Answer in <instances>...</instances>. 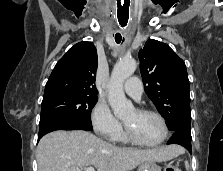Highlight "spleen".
<instances>
[{"label":"spleen","instance_id":"1","mask_svg":"<svg viewBox=\"0 0 223 171\" xmlns=\"http://www.w3.org/2000/svg\"><path fill=\"white\" fill-rule=\"evenodd\" d=\"M178 151H179V153H183L184 152L182 148H179ZM185 168H186L187 171H189L190 166H189L188 161H185Z\"/></svg>","mask_w":223,"mask_h":171}]
</instances>
